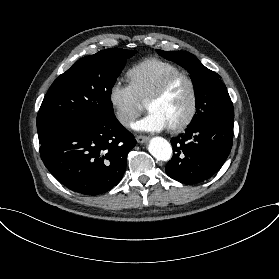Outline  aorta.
Here are the masks:
<instances>
[{
    "mask_svg": "<svg viewBox=\"0 0 279 279\" xmlns=\"http://www.w3.org/2000/svg\"><path fill=\"white\" fill-rule=\"evenodd\" d=\"M150 154L157 160L169 161L172 157L171 144L162 137H154L148 145Z\"/></svg>",
    "mask_w": 279,
    "mask_h": 279,
    "instance_id": "aorta-1",
    "label": "aorta"
}]
</instances>
